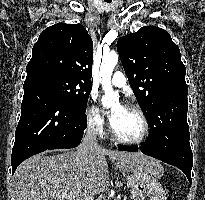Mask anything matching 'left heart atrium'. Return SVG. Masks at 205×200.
<instances>
[{"instance_id": "1", "label": "left heart atrium", "mask_w": 205, "mask_h": 200, "mask_svg": "<svg viewBox=\"0 0 205 200\" xmlns=\"http://www.w3.org/2000/svg\"><path fill=\"white\" fill-rule=\"evenodd\" d=\"M115 116H116V114L114 112H110L109 119H110L111 124L113 123Z\"/></svg>"}]
</instances>
